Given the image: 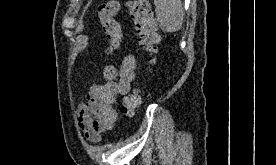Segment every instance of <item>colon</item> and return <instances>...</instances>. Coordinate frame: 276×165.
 Listing matches in <instances>:
<instances>
[{"mask_svg": "<svg viewBox=\"0 0 276 165\" xmlns=\"http://www.w3.org/2000/svg\"><path fill=\"white\" fill-rule=\"evenodd\" d=\"M129 15L133 20L138 43L146 54L148 64L155 62V54L160 40L155 19L148 0H129L126 3ZM120 4L116 0H108L98 5L96 15L100 21L103 34L109 43V50H115L123 41L122 27L117 20ZM142 101L140 89L135 88L127 94L120 105V113L132 117Z\"/></svg>", "mask_w": 276, "mask_h": 165, "instance_id": "obj_1", "label": "colon"}]
</instances>
